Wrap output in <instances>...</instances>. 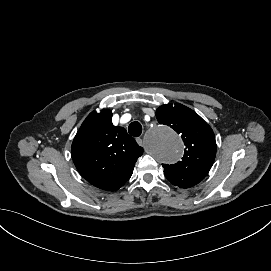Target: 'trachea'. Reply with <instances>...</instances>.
Instances as JSON below:
<instances>
[{
  "label": "trachea",
  "instance_id": "trachea-1",
  "mask_svg": "<svg viewBox=\"0 0 271 271\" xmlns=\"http://www.w3.org/2000/svg\"><path fill=\"white\" fill-rule=\"evenodd\" d=\"M128 132L130 135H132L134 137L140 136L142 133L141 124L138 121H134V122L130 123V125L128 127Z\"/></svg>",
  "mask_w": 271,
  "mask_h": 271
}]
</instances>
